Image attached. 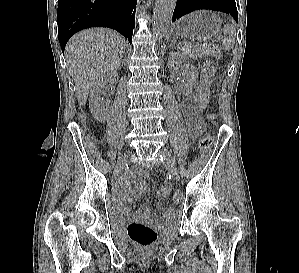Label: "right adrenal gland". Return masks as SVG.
<instances>
[{
	"mask_svg": "<svg viewBox=\"0 0 299 273\" xmlns=\"http://www.w3.org/2000/svg\"><path fill=\"white\" fill-rule=\"evenodd\" d=\"M125 58H126V54L124 55V59L121 61L120 66H122L123 63L125 62ZM120 66H119V67H120Z\"/></svg>",
	"mask_w": 299,
	"mask_h": 273,
	"instance_id": "right-adrenal-gland-1",
	"label": "right adrenal gland"
}]
</instances>
